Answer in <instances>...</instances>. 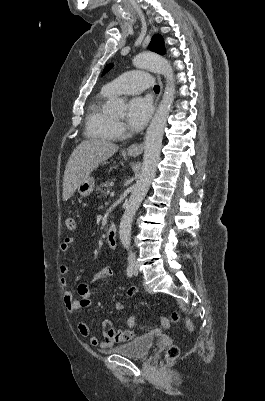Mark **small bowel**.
Instances as JSON below:
<instances>
[{"label": "small bowel", "mask_w": 265, "mask_h": 401, "mask_svg": "<svg viewBox=\"0 0 265 401\" xmlns=\"http://www.w3.org/2000/svg\"><path fill=\"white\" fill-rule=\"evenodd\" d=\"M74 242V238L72 236L66 237L61 245L60 250L62 252H67L72 243ZM70 267L68 265H61L59 268V273L61 275V285L64 288L68 287V278ZM112 271L109 267H102L99 269L90 279V282L99 285L103 280L110 277ZM137 293V289L135 287H131L127 294L128 296H133ZM78 294L80 298L77 299L73 292L69 289H66L63 294V300L66 308L69 312L76 314L79 310L88 308L91 306V290L89 288L88 283H81L78 286ZM114 310L120 312L123 310V305L119 302L114 304ZM103 340L99 341L98 338L91 334L89 326L82 320H79L77 323V329L81 336L86 337L91 346L99 347L101 350H108L119 343H124L130 340L133 336L131 335V331L122 332L118 330L112 321L104 320L103 321Z\"/></svg>", "instance_id": "1"}]
</instances>
